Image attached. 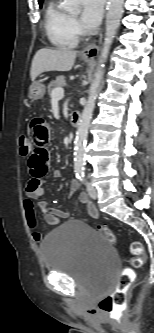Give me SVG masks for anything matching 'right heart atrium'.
Returning a JSON list of instances; mask_svg holds the SVG:
<instances>
[{"mask_svg": "<svg viewBox=\"0 0 154 333\" xmlns=\"http://www.w3.org/2000/svg\"><path fill=\"white\" fill-rule=\"evenodd\" d=\"M72 24H73L74 30L77 33H80L81 32V26H80L79 22L77 20L73 19Z\"/></svg>", "mask_w": 154, "mask_h": 333, "instance_id": "d8ad5b80", "label": "right heart atrium"}]
</instances>
